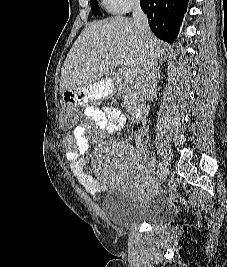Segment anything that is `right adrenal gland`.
Listing matches in <instances>:
<instances>
[{
  "label": "right adrenal gland",
  "instance_id": "2a0ac1e0",
  "mask_svg": "<svg viewBox=\"0 0 227 267\" xmlns=\"http://www.w3.org/2000/svg\"><path fill=\"white\" fill-rule=\"evenodd\" d=\"M161 66H162V63H160V65L158 66V69H157V78L158 79L160 78Z\"/></svg>",
  "mask_w": 227,
  "mask_h": 267
}]
</instances>
